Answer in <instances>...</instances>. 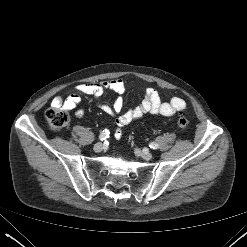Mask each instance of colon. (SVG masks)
Masks as SVG:
<instances>
[{
    "label": "colon",
    "instance_id": "5ec220e1",
    "mask_svg": "<svg viewBox=\"0 0 247 247\" xmlns=\"http://www.w3.org/2000/svg\"><path fill=\"white\" fill-rule=\"evenodd\" d=\"M46 119L51 129L60 130L69 123V114L63 108L52 107L47 110ZM177 126L180 129H186L189 126V120L185 116L180 115L177 118ZM117 137H121V130L117 132Z\"/></svg>",
    "mask_w": 247,
    "mask_h": 247
}]
</instances>
